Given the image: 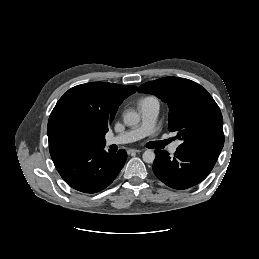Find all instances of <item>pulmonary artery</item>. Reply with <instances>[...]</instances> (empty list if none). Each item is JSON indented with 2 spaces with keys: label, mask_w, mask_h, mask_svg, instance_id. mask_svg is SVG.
Returning a JSON list of instances; mask_svg holds the SVG:
<instances>
[{
  "label": "pulmonary artery",
  "mask_w": 259,
  "mask_h": 259,
  "mask_svg": "<svg viewBox=\"0 0 259 259\" xmlns=\"http://www.w3.org/2000/svg\"><path fill=\"white\" fill-rule=\"evenodd\" d=\"M138 108L141 114L140 124L123 133L109 137L106 140L107 145L130 143L152 134L159 113V101L154 97H148L139 102ZM178 146L179 142H174L170 145L169 151L175 153Z\"/></svg>",
  "instance_id": "obj_1"
}]
</instances>
